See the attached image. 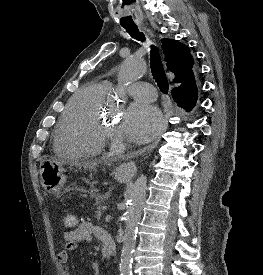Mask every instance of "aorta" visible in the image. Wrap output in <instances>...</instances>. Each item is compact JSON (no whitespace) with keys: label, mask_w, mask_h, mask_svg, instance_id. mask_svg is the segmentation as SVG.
Instances as JSON below:
<instances>
[{"label":"aorta","mask_w":263,"mask_h":275,"mask_svg":"<svg viewBox=\"0 0 263 275\" xmlns=\"http://www.w3.org/2000/svg\"><path fill=\"white\" fill-rule=\"evenodd\" d=\"M144 73L145 64L141 59L132 56L124 60L118 72V92L125 95L126 87L138 80ZM146 190L147 177L142 174L132 186L125 213L126 227L119 264L121 275H131L137 229L146 199Z\"/></svg>","instance_id":"obj_1"}]
</instances>
